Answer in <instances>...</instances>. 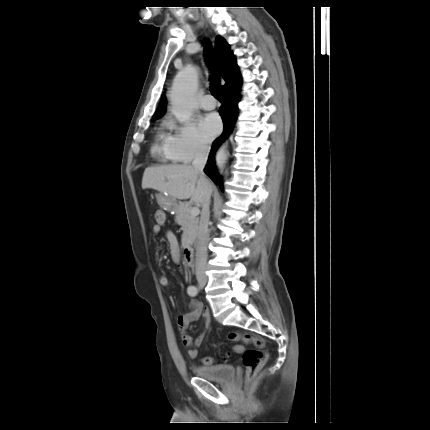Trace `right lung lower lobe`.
<instances>
[{
  "label": "right lung lower lobe",
  "mask_w": 430,
  "mask_h": 430,
  "mask_svg": "<svg viewBox=\"0 0 430 430\" xmlns=\"http://www.w3.org/2000/svg\"><path fill=\"white\" fill-rule=\"evenodd\" d=\"M240 86H241V83L234 87H230L224 91L225 105L220 108V115L224 123V131L222 135L213 142L212 149L207 161V165L204 169L205 173L218 185H219V177L216 173L214 154L219 144L232 131V128L238 113L237 103L240 99V95H239ZM220 188L222 190L221 184H220Z\"/></svg>",
  "instance_id": "right-lung-lower-lobe-1"
}]
</instances>
